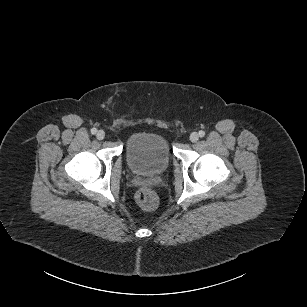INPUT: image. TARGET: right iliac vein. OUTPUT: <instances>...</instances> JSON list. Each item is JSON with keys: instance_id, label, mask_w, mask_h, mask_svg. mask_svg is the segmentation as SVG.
<instances>
[{"instance_id": "1", "label": "right iliac vein", "mask_w": 307, "mask_h": 307, "mask_svg": "<svg viewBox=\"0 0 307 307\" xmlns=\"http://www.w3.org/2000/svg\"><path fill=\"white\" fill-rule=\"evenodd\" d=\"M97 139L102 140L105 137V132L103 130H99L96 134Z\"/></svg>"}]
</instances>
